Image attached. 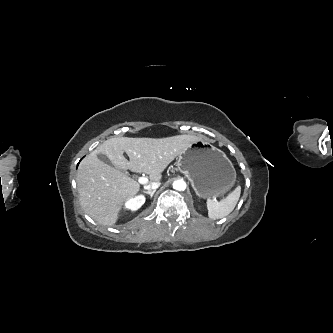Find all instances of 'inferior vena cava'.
Here are the masks:
<instances>
[{
	"label": "inferior vena cava",
	"instance_id": "1",
	"mask_svg": "<svg viewBox=\"0 0 333 333\" xmlns=\"http://www.w3.org/2000/svg\"><path fill=\"white\" fill-rule=\"evenodd\" d=\"M160 182H152L148 185L144 186L145 190L151 191V190H156L160 186Z\"/></svg>",
	"mask_w": 333,
	"mask_h": 333
}]
</instances>
